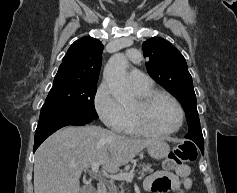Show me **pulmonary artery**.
Listing matches in <instances>:
<instances>
[{
	"instance_id": "1",
	"label": "pulmonary artery",
	"mask_w": 237,
	"mask_h": 193,
	"mask_svg": "<svg viewBox=\"0 0 237 193\" xmlns=\"http://www.w3.org/2000/svg\"><path fill=\"white\" fill-rule=\"evenodd\" d=\"M131 85L135 88H145L152 86L151 78L139 70H132L128 75Z\"/></svg>"
}]
</instances>
